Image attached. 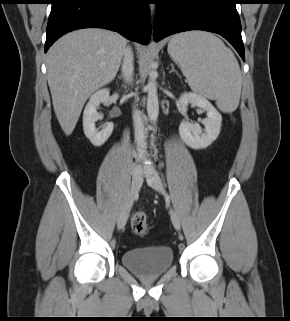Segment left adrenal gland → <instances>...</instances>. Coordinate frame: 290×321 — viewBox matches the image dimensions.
Wrapping results in <instances>:
<instances>
[{"instance_id":"1","label":"left adrenal gland","mask_w":290,"mask_h":321,"mask_svg":"<svg viewBox=\"0 0 290 321\" xmlns=\"http://www.w3.org/2000/svg\"><path fill=\"white\" fill-rule=\"evenodd\" d=\"M171 66H172V69L170 70V72H169V73L175 72L176 74H178V73H177V71L174 69V65H173V64H171Z\"/></svg>"}]
</instances>
